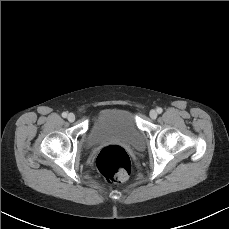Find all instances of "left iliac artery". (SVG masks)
Segmentation results:
<instances>
[{"label":"left iliac artery","mask_w":229,"mask_h":229,"mask_svg":"<svg viewBox=\"0 0 229 229\" xmlns=\"http://www.w3.org/2000/svg\"><path fill=\"white\" fill-rule=\"evenodd\" d=\"M156 111H157V113L161 114V113H162V111H163V109H162V108H160V107H158V108L156 109Z\"/></svg>","instance_id":"obj_1"}]
</instances>
